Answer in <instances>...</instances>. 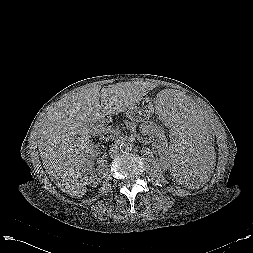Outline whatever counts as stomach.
<instances>
[{"label":"stomach","mask_w":253,"mask_h":253,"mask_svg":"<svg viewBox=\"0 0 253 253\" xmlns=\"http://www.w3.org/2000/svg\"><path fill=\"white\" fill-rule=\"evenodd\" d=\"M153 114L154 106L148 99H143L142 101L134 104L131 108H128L126 111L127 117L136 122L149 120Z\"/></svg>","instance_id":"0dacf381"}]
</instances>
